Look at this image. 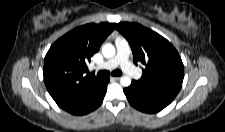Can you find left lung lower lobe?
<instances>
[{"mask_svg":"<svg viewBox=\"0 0 225 132\" xmlns=\"http://www.w3.org/2000/svg\"><path fill=\"white\" fill-rule=\"evenodd\" d=\"M124 93L129 103L136 109L146 113H156L168 106L177 93L168 90L147 88L132 81Z\"/></svg>","mask_w":225,"mask_h":132,"instance_id":"0a47b994","label":"left lung lower lobe"}]
</instances>
